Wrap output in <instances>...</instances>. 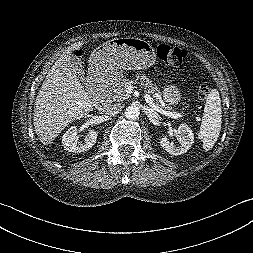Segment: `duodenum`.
Wrapping results in <instances>:
<instances>
[{
	"instance_id": "1",
	"label": "duodenum",
	"mask_w": 253,
	"mask_h": 253,
	"mask_svg": "<svg viewBox=\"0 0 253 253\" xmlns=\"http://www.w3.org/2000/svg\"><path fill=\"white\" fill-rule=\"evenodd\" d=\"M99 108L100 110H104L108 104L110 103V91L109 89L102 87L100 90V96H99Z\"/></svg>"
}]
</instances>
